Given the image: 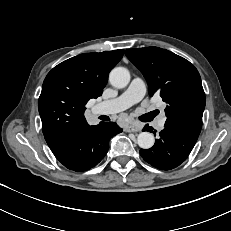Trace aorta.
Instances as JSON below:
<instances>
[{
    "label": "aorta",
    "instance_id": "1",
    "mask_svg": "<svg viewBox=\"0 0 231 231\" xmlns=\"http://www.w3.org/2000/svg\"><path fill=\"white\" fill-rule=\"evenodd\" d=\"M110 84L115 88H124L130 82V73L124 67H115L109 74ZM155 138L150 132H141L137 137V143L142 149H149L154 145Z\"/></svg>",
    "mask_w": 231,
    "mask_h": 231
}]
</instances>
